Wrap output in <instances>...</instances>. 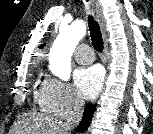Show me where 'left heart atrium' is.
<instances>
[{
	"mask_svg": "<svg viewBox=\"0 0 153 134\" xmlns=\"http://www.w3.org/2000/svg\"><path fill=\"white\" fill-rule=\"evenodd\" d=\"M74 85L84 99H93L103 83V71L98 66L79 68L74 72Z\"/></svg>",
	"mask_w": 153,
	"mask_h": 134,
	"instance_id": "left-heart-atrium-1",
	"label": "left heart atrium"
}]
</instances>
